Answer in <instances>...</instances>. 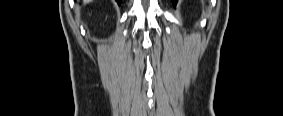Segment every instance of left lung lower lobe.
<instances>
[{
	"label": "left lung lower lobe",
	"mask_w": 283,
	"mask_h": 116,
	"mask_svg": "<svg viewBox=\"0 0 283 116\" xmlns=\"http://www.w3.org/2000/svg\"><path fill=\"white\" fill-rule=\"evenodd\" d=\"M177 1L178 0H172L174 6L177 4Z\"/></svg>",
	"instance_id": "left-lung-lower-lobe-1"
}]
</instances>
